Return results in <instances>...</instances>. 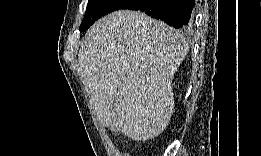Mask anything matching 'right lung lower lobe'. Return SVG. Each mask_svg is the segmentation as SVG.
I'll use <instances>...</instances> for the list:
<instances>
[{
    "label": "right lung lower lobe",
    "mask_w": 261,
    "mask_h": 156,
    "mask_svg": "<svg viewBox=\"0 0 261 156\" xmlns=\"http://www.w3.org/2000/svg\"><path fill=\"white\" fill-rule=\"evenodd\" d=\"M195 0H130L120 9L145 12L174 28L187 29L192 22Z\"/></svg>",
    "instance_id": "1"
}]
</instances>
